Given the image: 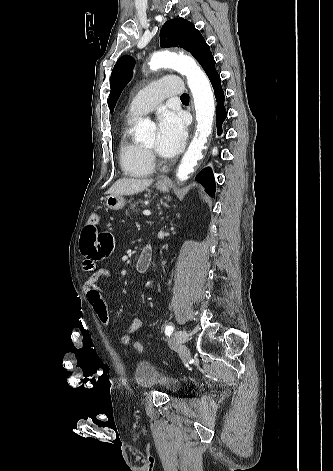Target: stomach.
I'll use <instances>...</instances> for the list:
<instances>
[{"instance_id":"obj_1","label":"stomach","mask_w":333,"mask_h":471,"mask_svg":"<svg viewBox=\"0 0 333 471\" xmlns=\"http://www.w3.org/2000/svg\"><path fill=\"white\" fill-rule=\"evenodd\" d=\"M169 183H163L158 181L156 183L157 190L161 192L169 191ZM106 206L111 210H120L125 206V200L122 195L111 194L106 198Z\"/></svg>"}]
</instances>
